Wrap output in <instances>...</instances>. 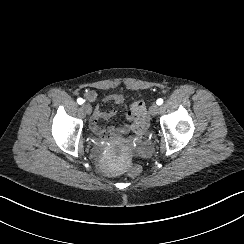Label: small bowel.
<instances>
[{
    "mask_svg": "<svg viewBox=\"0 0 244 244\" xmlns=\"http://www.w3.org/2000/svg\"><path fill=\"white\" fill-rule=\"evenodd\" d=\"M86 98L90 102H94L96 100V93L92 90L86 91ZM105 102H114L118 105L124 104V98L121 95L113 94L109 95L104 99ZM116 116V112L114 110H102L99 105H96L93 110V119L92 125L96 132H98L103 137L110 136H118L124 135L128 133L130 130H133L137 135L141 136L143 134V130L138 131L135 129L134 124L136 122L134 114L131 110L126 109L124 113L125 123L122 125H108L103 126V120H109Z\"/></svg>",
    "mask_w": 244,
    "mask_h": 244,
    "instance_id": "obj_1",
    "label": "small bowel"
}]
</instances>
